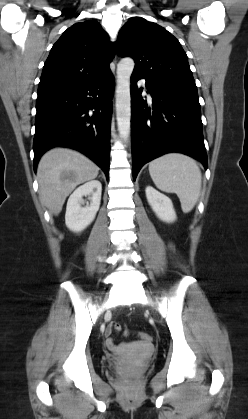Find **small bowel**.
Wrapping results in <instances>:
<instances>
[{"mask_svg": "<svg viewBox=\"0 0 248 419\" xmlns=\"http://www.w3.org/2000/svg\"><path fill=\"white\" fill-rule=\"evenodd\" d=\"M109 332H110V329H109ZM107 345H108L111 349H113L114 351H118V350H119V346H118V344H116V343L114 342V340H113V338H112V337H109V338L107 339Z\"/></svg>", "mask_w": 248, "mask_h": 419, "instance_id": "obj_1", "label": "small bowel"}]
</instances>
